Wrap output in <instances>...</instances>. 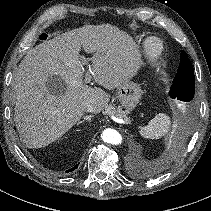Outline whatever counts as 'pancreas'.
Segmentation results:
<instances>
[{
    "mask_svg": "<svg viewBox=\"0 0 211 211\" xmlns=\"http://www.w3.org/2000/svg\"><path fill=\"white\" fill-rule=\"evenodd\" d=\"M107 112L110 115H113L117 118H121V119H124L126 121L129 120L127 113L125 111H123L121 107L116 109L114 106H110V107L107 108Z\"/></svg>",
    "mask_w": 211,
    "mask_h": 211,
    "instance_id": "1",
    "label": "pancreas"
}]
</instances>
